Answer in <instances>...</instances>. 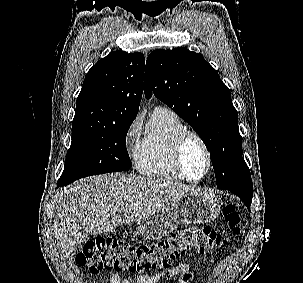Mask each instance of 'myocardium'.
I'll use <instances>...</instances> for the list:
<instances>
[{
  "label": "myocardium",
  "mask_w": 303,
  "mask_h": 283,
  "mask_svg": "<svg viewBox=\"0 0 303 283\" xmlns=\"http://www.w3.org/2000/svg\"><path fill=\"white\" fill-rule=\"evenodd\" d=\"M191 138L197 140L198 143L201 145V147L205 153L206 161H207V167H206L205 173L200 178H197V179L192 178L188 174L187 169L184 164V159H183L185 144ZM173 156H174V161H175V164H176L178 170L184 176V178L190 182L196 183V182H200V181L204 180L211 171L212 155H211L210 149H209L206 141L203 139V137L195 131L185 129L177 136V138L175 139V142H174V146H173Z\"/></svg>",
  "instance_id": "obj_1"
}]
</instances>
